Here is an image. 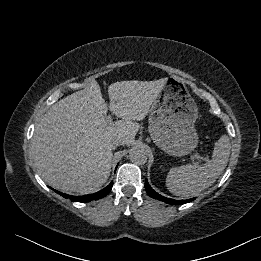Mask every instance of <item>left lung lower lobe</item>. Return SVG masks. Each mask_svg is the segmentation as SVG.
<instances>
[{
  "instance_id": "left-lung-lower-lobe-1",
  "label": "left lung lower lobe",
  "mask_w": 261,
  "mask_h": 261,
  "mask_svg": "<svg viewBox=\"0 0 261 261\" xmlns=\"http://www.w3.org/2000/svg\"><path fill=\"white\" fill-rule=\"evenodd\" d=\"M145 189H146V192L147 194L154 198V199H158L160 201H163L167 204H172V205H180V204H185V203H189L191 201H193L195 198H192V199H188V200H174V199H169V198H166V197H163L161 195H159L158 193H156L151 187L150 185L148 184V181L146 179L145 181Z\"/></svg>"
}]
</instances>
